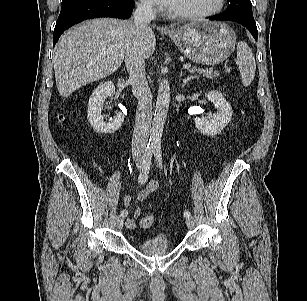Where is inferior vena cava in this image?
Masks as SVG:
<instances>
[{
    "label": "inferior vena cava",
    "instance_id": "obj_1",
    "mask_svg": "<svg viewBox=\"0 0 307 301\" xmlns=\"http://www.w3.org/2000/svg\"><path fill=\"white\" fill-rule=\"evenodd\" d=\"M155 18L152 4L143 2L137 4L133 13L135 26L134 38L127 45L125 64L129 73L134 96L138 99L136 120L132 138V154L142 156L148 142L152 119V94L146 80L144 61V37L148 24Z\"/></svg>",
    "mask_w": 307,
    "mask_h": 301
}]
</instances>
